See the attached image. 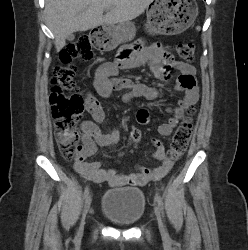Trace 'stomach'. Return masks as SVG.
<instances>
[{
  "label": "stomach",
  "instance_id": "0dacf381",
  "mask_svg": "<svg viewBox=\"0 0 248 250\" xmlns=\"http://www.w3.org/2000/svg\"><path fill=\"white\" fill-rule=\"evenodd\" d=\"M146 30L151 34L175 35L188 29L198 15L195 0H155L147 9ZM136 33L132 22L118 25H103V44L106 51L116 48L121 43L134 39Z\"/></svg>",
  "mask_w": 248,
  "mask_h": 250
}]
</instances>
